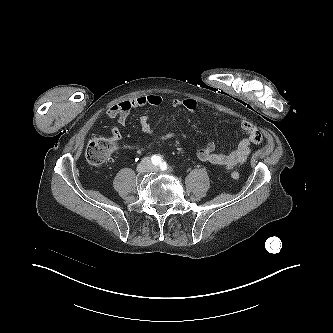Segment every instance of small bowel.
<instances>
[{"label":"small bowel","mask_w":333,"mask_h":333,"mask_svg":"<svg viewBox=\"0 0 333 333\" xmlns=\"http://www.w3.org/2000/svg\"><path fill=\"white\" fill-rule=\"evenodd\" d=\"M162 103L163 98L159 94L151 93L140 95L111 106L107 110L106 116L108 119L117 118L118 123L121 126H125L127 124L129 113L132 109L146 106L158 107ZM169 105L173 108L184 107L190 112H194L198 108V103L193 98H174L170 100ZM139 123L141 131L145 135L157 141H166L172 139L175 136H181L184 138L187 137L185 133H176L172 131L159 134L155 133L150 123V117L146 114L140 117ZM241 129L245 136L240 140L232 152L229 154H221L217 152L216 144L213 141H210L204 147L198 149L196 153L198 159L203 162H208L210 164L222 167L228 171L245 164L251 154V145L262 143L263 135L249 121H243L241 123ZM110 132L112 137L116 140L121 138L120 131L116 126L110 127ZM131 148L136 151L142 150V147L140 146H132Z\"/></svg>","instance_id":"small-bowel-1"}]
</instances>
